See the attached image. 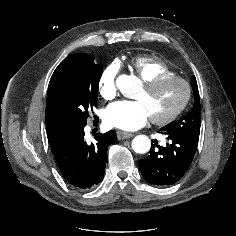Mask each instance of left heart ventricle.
<instances>
[{
  "label": "left heart ventricle",
  "instance_id": "b2bd125f",
  "mask_svg": "<svg viewBox=\"0 0 236 236\" xmlns=\"http://www.w3.org/2000/svg\"><path fill=\"white\" fill-rule=\"evenodd\" d=\"M184 96V86L180 82L172 81L152 91H146L142 87L136 99L145 104L150 116L162 117L173 111Z\"/></svg>",
  "mask_w": 236,
  "mask_h": 236
}]
</instances>
